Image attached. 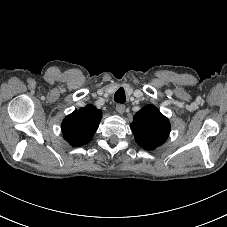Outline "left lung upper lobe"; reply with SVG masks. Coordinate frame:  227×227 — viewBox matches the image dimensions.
<instances>
[{
  "instance_id": "left-lung-upper-lobe-1",
  "label": "left lung upper lobe",
  "mask_w": 227,
  "mask_h": 227,
  "mask_svg": "<svg viewBox=\"0 0 227 227\" xmlns=\"http://www.w3.org/2000/svg\"><path fill=\"white\" fill-rule=\"evenodd\" d=\"M131 129L142 148L153 150L166 141L170 123L155 106L148 105L135 114Z\"/></svg>"
}]
</instances>
